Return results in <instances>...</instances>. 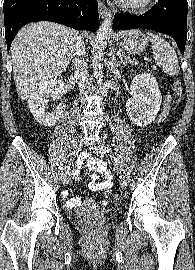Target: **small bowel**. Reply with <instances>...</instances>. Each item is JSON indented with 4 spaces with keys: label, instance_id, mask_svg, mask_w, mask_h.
I'll use <instances>...</instances> for the list:
<instances>
[{
    "label": "small bowel",
    "instance_id": "c3829d8e",
    "mask_svg": "<svg viewBox=\"0 0 195 270\" xmlns=\"http://www.w3.org/2000/svg\"><path fill=\"white\" fill-rule=\"evenodd\" d=\"M169 102L170 97L166 95L164 97L163 109L158 117V121H162L166 117L168 113ZM79 162L80 164L84 162L88 169L95 170L102 175L103 180L99 181L98 173L91 174L88 187L92 191H103L105 198L101 201V205H107L108 196L110 195L111 188L113 186V173L110 170L107 162L89 154H83ZM65 198H66V205L68 207H74L76 205H79L81 202V199L79 198H70L69 193L66 194Z\"/></svg>",
    "mask_w": 195,
    "mask_h": 270
}]
</instances>
